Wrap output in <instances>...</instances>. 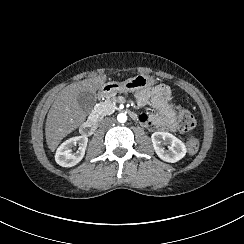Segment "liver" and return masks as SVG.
Masks as SVG:
<instances>
[{"mask_svg":"<svg viewBox=\"0 0 244 244\" xmlns=\"http://www.w3.org/2000/svg\"><path fill=\"white\" fill-rule=\"evenodd\" d=\"M106 75L71 84L58 93L47 115L45 136L53 152L62 139L78 129L87 115L81 110L78 95L82 92L95 93L106 82Z\"/></svg>","mask_w":244,"mask_h":244,"instance_id":"1","label":"liver"}]
</instances>
